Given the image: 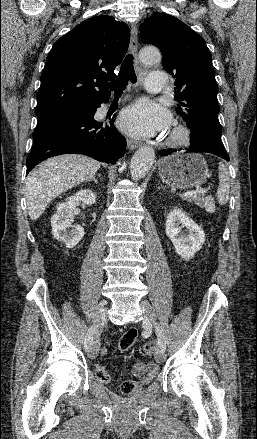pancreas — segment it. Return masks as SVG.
Segmentation results:
<instances>
[{"label": "pancreas", "mask_w": 257, "mask_h": 439, "mask_svg": "<svg viewBox=\"0 0 257 439\" xmlns=\"http://www.w3.org/2000/svg\"><path fill=\"white\" fill-rule=\"evenodd\" d=\"M188 201L194 202L201 208L206 207V198L203 193H195L193 196L187 198Z\"/></svg>", "instance_id": "cf45deb5"}]
</instances>
